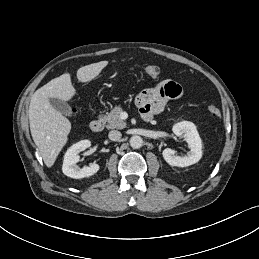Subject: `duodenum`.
<instances>
[{
  "instance_id": "1",
  "label": "duodenum",
  "mask_w": 259,
  "mask_h": 259,
  "mask_svg": "<svg viewBox=\"0 0 259 259\" xmlns=\"http://www.w3.org/2000/svg\"><path fill=\"white\" fill-rule=\"evenodd\" d=\"M104 127V119H103V115L102 112H100L97 117L92 120L91 124H90V128L93 132H100Z\"/></svg>"
}]
</instances>
